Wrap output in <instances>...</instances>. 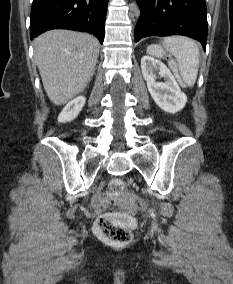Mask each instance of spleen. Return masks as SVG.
<instances>
[{
    "label": "spleen",
    "instance_id": "1",
    "mask_svg": "<svg viewBox=\"0 0 233 284\" xmlns=\"http://www.w3.org/2000/svg\"><path fill=\"white\" fill-rule=\"evenodd\" d=\"M165 51L172 54L184 83L193 87L199 70V48L195 41L180 36L165 38L163 45L153 44L147 48V53L162 57Z\"/></svg>",
    "mask_w": 233,
    "mask_h": 284
}]
</instances>
